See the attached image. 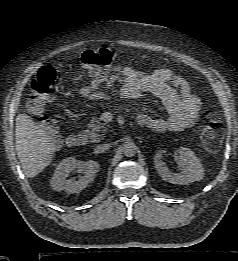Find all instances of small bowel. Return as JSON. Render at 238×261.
Instances as JSON below:
<instances>
[{
    "mask_svg": "<svg viewBox=\"0 0 238 261\" xmlns=\"http://www.w3.org/2000/svg\"><path fill=\"white\" fill-rule=\"evenodd\" d=\"M144 93L158 97L168 116L153 117L142 113L138 121L156 132L182 131L194 125L200 108V98L191 91L188 82L167 68L144 73L130 67H115L104 77H94L79 90L89 100H109L113 96L134 100Z\"/></svg>",
    "mask_w": 238,
    "mask_h": 261,
    "instance_id": "small-bowel-1",
    "label": "small bowel"
}]
</instances>
